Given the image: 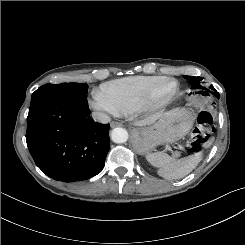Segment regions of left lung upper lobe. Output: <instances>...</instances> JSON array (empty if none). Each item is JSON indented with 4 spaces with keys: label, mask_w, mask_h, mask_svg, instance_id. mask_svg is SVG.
<instances>
[{
    "label": "left lung upper lobe",
    "mask_w": 245,
    "mask_h": 245,
    "mask_svg": "<svg viewBox=\"0 0 245 245\" xmlns=\"http://www.w3.org/2000/svg\"><path fill=\"white\" fill-rule=\"evenodd\" d=\"M184 78L185 79H188V80H190L192 82V86H193L192 88L193 89H198V90H204L205 89V90H207L206 88H204L203 86H201V81H202V78L201 77L184 76ZM200 92H202V91H200Z\"/></svg>",
    "instance_id": "left-lung-upper-lobe-1"
}]
</instances>
